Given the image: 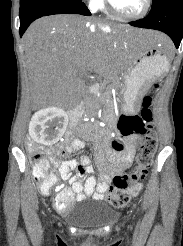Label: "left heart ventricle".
<instances>
[{"mask_svg": "<svg viewBox=\"0 0 183 246\" xmlns=\"http://www.w3.org/2000/svg\"><path fill=\"white\" fill-rule=\"evenodd\" d=\"M114 7L122 14L135 15L139 13L145 4V0H111Z\"/></svg>", "mask_w": 183, "mask_h": 246, "instance_id": "left-heart-ventricle-1", "label": "left heart ventricle"}]
</instances>
